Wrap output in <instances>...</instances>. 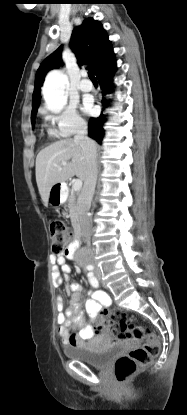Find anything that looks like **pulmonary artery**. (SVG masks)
Wrapping results in <instances>:
<instances>
[{"label": "pulmonary artery", "mask_w": 187, "mask_h": 415, "mask_svg": "<svg viewBox=\"0 0 187 415\" xmlns=\"http://www.w3.org/2000/svg\"><path fill=\"white\" fill-rule=\"evenodd\" d=\"M82 81L79 83L78 88L82 92H89L93 89L92 83L86 79V73L82 74Z\"/></svg>", "instance_id": "1"}]
</instances>
